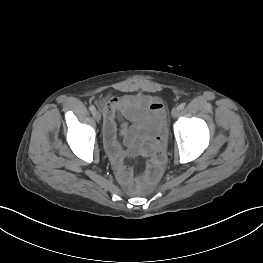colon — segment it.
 <instances>
[{
    "mask_svg": "<svg viewBox=\"0 0 263 263\" xmlns=\"http://www.w3.org/2000/svg\"><path fill=\"white\" fill-rule=\"evenodd\" d=\"M162 165L159 163H152L148 165L147 171L143 177L137 180V187H143L155 182L161 174Z\"/></svg>",
    "mask_w": 263,
    "mask_h": 263,
    "instance_id": "obj_1",
    "label": "colon"
}]
</instances>
